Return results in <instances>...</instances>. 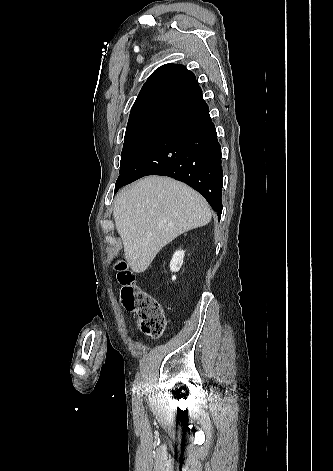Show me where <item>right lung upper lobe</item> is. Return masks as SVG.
<instances>
[{"label":"right lung upper lobe","instance_id":"obj_1","mask_svg":"<svg viewBox=\"0 0 333 471\" xmlns=\"http://www.w3.org/2000/svg\"><path fill=\"white\" fill-rule=\"evenodd\" d=\"M202 99V90L191 71L180 64H165L143 85L130 117L158 115L177 119Z\"/></svg>","mask_w":333,"mask_h":471}]
</instances>
